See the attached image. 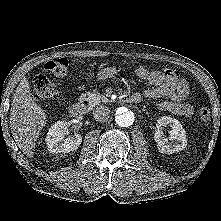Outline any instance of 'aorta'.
Instances as JSON below:
<instances>
[{
	"instance_id": "obj_1",
	"label": "aorta",
	"mask_w": 221,
	"mask_h": 221,
	"mask_svg": "<svg viewBox=\"0 0 221 221\" xmlns=\"http://www.w3.org/2000/svg\"><path fill=\"white\" fill-rule=\"evenodd\" d=\"M134 113L127 108H119L115 117V121L120 127H129L134 123Z\"/></svg>"
}]
</instances>
